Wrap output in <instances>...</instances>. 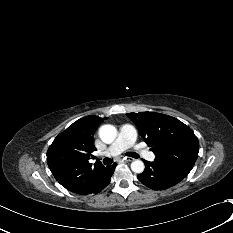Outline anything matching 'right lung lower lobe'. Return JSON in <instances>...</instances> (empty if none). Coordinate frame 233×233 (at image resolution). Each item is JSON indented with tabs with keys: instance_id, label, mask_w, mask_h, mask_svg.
Listing matches in <instances>:
<instances>
[{
	"instance_id": "1",
	"label": "right lung lower lobe",
	"mask_w": 233,
	"mask_h": 233,
	"mask_svg": "<svg viewBox=\"0 0 233 233\" xmlns=\"http://www.w3.org/2000/svg\"><path fill=\"white\" fill-rule=\"evenodd\" d=\"M116 165L117 164L114 163L113 165L106 167L89 187L86 194L98 193L103 190L110 183L111 176L113 175Z\"/></svg>"
}]
</instances>
